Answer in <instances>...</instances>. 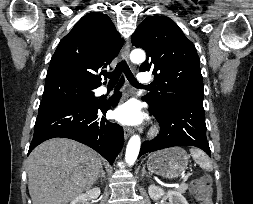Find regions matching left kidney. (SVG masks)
I'll return each instance as SVG.
<instances>
[{
    "instance_id": "left-kidney-1",
    "label": "left kidney",
    "mask_w": 253,
    "mask_h": 204,
    "mask_svg": "<svg viewBox=\"0 0 253 204\" xmlns=\"http://www.w3.org/2000/svg\"><path fill=\"white\" fill-rule=\"evenodd\" d=\"M148 193L151 199H153L154 201H157L161 197L166 195V197L169 198V204H188L185 197L177 191L169 190L167 193H165L162 188L157 187L155 185H150L148 187Z\"/></svg>"
}]
</instances>
